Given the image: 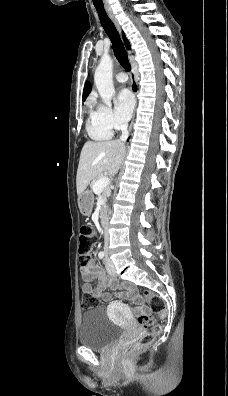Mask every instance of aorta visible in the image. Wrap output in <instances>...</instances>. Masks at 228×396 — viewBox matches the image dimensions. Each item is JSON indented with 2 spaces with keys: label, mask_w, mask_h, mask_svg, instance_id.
<instances>
[{
  "label": "aorta",
  "mask_w": 228,
  "mask_h": 396,
  "mask_svg": "<svg viewBox=\"0 0 228 396\" xmlns=\"http://www.w3.org/2000/svg\"><path fill=\"white\" fill-rule=\"evenodd\" d=\"M113 60L104 55L100 59L94 74V82L103 103L110 105L115 93L112 80Z\"/></svg>",
  "instance_id": "762f6f07"
}]
</instances>
